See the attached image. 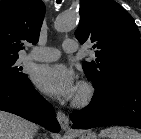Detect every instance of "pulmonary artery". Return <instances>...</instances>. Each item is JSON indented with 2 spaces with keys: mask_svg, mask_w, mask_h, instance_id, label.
Wrapping results in <instances>:
<instances>
[{
  "mask_svg": "<svg viewBox=\"0 0 141 139\" xmlns=\"http://www.w3.org/2000/svg\"><path fill=\"white\" fill-rule=\"evenodd\" d=\"M78 46L74 40H65L63 50L66 53L77 51ZM60 57V51L52 47H35L29 54V58L35 61L49 62L55 61Z\"/></svg>",
  "mask_w": 141,
  "mask_h": 139,
  "instance_id": "1",
  "label": "pulmonary artery"
}]
</instances>
